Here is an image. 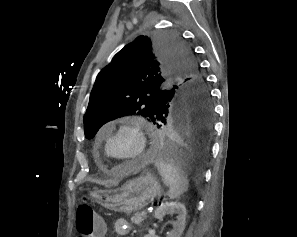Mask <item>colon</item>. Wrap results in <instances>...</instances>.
Instances as JSON below:
<instances>
[{"label":"colon","mask_w":297,"mask_h":237,"mask_svg":"<svg viewBox=\"0 0 297 237\" xmlns=\"http://www.w3.org/2000/svg\"><path fill=\"white\" fill-rule=\"evenodd\" d=\"M76 228L79 237H98L100 223L86 199L77 207Z\"/></svg>","instance_id":"colon-1"}]
</instances>
